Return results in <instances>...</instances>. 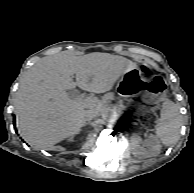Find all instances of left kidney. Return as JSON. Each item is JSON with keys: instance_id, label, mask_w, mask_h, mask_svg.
Listing matches in <instances>:
<instances>
[{"instance_id": "1", "label": "left kidney", "mask_w": 194, "mask_h": 193, "mask_svg": "<svg viewBox=\"0 0 194 193\" xmlns=\"http://www.w3.org/2000/svg\"><path fill=\"white\" fill-rule=\"evenodd\" d=\"M145 144L147 148L141 146V140L135 134L131 143L132 154L138 158H149L160 154L161 144L155 135L149 134Z\"/></svg>"}]
</instances>
